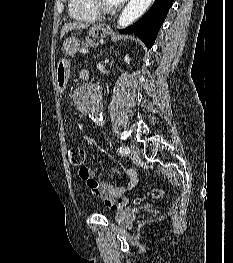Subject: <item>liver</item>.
<instances>
[{
  "label": "liver",
  "instance_id": "liver-1",
  "mask_svg": "<svg viewBox=\"0 0 233 263\" xmlns=\"http://www.w3.org/2000/svg\"><path fill=\"white\" fill-rule=\"evenodd\" d=\"M88 27H89V25L87 23H81V22H73V23L65 24L62 27V30L60 33V38H62L67 32H69L71 30L86 29Z\"/></svg>",
  "mask_w": 233,
  "mask_h": 263
}]
</instances>
